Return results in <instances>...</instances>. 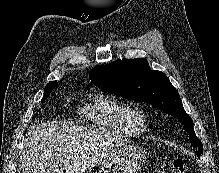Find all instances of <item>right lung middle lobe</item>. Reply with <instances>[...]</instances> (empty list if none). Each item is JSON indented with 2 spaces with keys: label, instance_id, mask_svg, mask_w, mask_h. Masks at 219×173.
I'll return each instance as SVG.
<instances>
[{
  "label": "right lung middle lobe",
  "instance_id": "obj_1",
  "mask_svg": "<svg viewBox=\"0 0 219 173\" xmlns=\"http://www.w3.org/2000/svg\"><path fill=\"white\" fill-rule=\"evenodd\" d=\"M57 84L48 85L44 89V96L41 102L45 101L47 97L49 96L51 90L56 86Z\"/></svg>",
  "mask_w": 219,
  "mask_h": 173
}]
</instances>
